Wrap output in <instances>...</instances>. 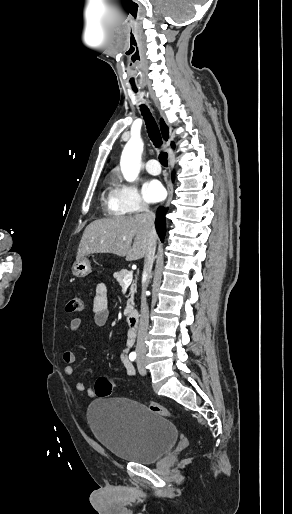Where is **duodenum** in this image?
<instances>
[{
  "mask_svg": "<svg viewBox=\"0 0 292 514\" xmlns=\"http://www.w3.org/2000/svg\"><path fill=\"white\" fill-rule=\"evenodd\" d=\"M128 326L132 333H135L139 326V313L137 310H133L128 314Z\"/></svg>",
  "mask_w": 292,
  "mask_h": 514,
  "instance_id": "1",
  "label": "duodenum"
}]
</instances>
